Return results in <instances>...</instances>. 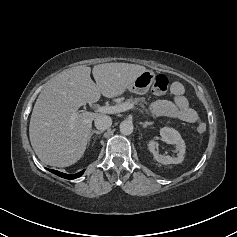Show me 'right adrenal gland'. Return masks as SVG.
I'll return each instance as SVG.
<instances>
[{
    "mask_svg": "<svg viewBox=\"0 0 237 237\" xmlns=\"http://www.w3.org/2000/svg\"><path fill=\"white\" fill-rule=\"evenodd\" d=\"M102 132H103L102 130H92V131L90 132V134H89V137H88V144H89L90 139H91V137H92L93 134L99 135V134H101Z\"/></svg>",
    "mask_w": 237,
    "mask_h": 237,
    "instance_id": "1",
    "label": "right adrenal gland"
}]
</instances>
